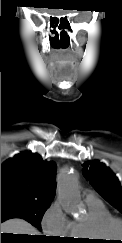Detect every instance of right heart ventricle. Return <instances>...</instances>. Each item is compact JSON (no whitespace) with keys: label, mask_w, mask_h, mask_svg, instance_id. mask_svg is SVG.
<instances>
[{"label":"right heart ventricle","mask_w":122,"mask_h":243,"mask_svg":"<svg viewBox=\"0 0 122 243\" xmlns=\"http://www.w3.org/2000/svg\"><path fill=\"white\" fill-rule=\"evenodd\" d=\"M88 218L85 221H71L68 236L76 240L100 239L96 225L103 219L112 217L110 211L99 200L85 201Z\"/></svg>","instance_id":"1"}]
</instances>
